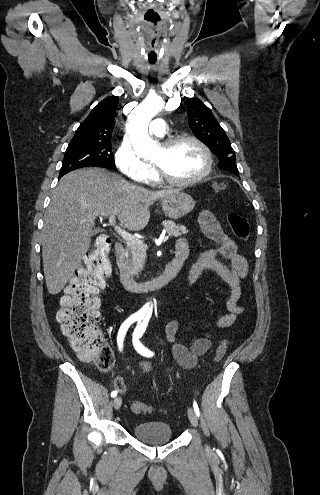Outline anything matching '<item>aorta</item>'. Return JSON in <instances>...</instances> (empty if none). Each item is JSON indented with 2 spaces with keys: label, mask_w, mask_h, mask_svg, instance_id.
<instances>
[{
  "label": "aorta",
  "mask_w": 320,
  "mask_h": 495,
  "mask_svg": "<svg viewBox=\"0 0 320 495\" xmlns=\"http://www.w3.org/2000/svg\"><path fill=\"white\" fill-rule=\"evenodd\" d=\"M164 108V101L159 97H147L128 116L127 132L134 147L135 152L142 158L155 156L159 151V145L151 139L148 133V126ZM145 309L152 312V306L147 304Z\"/></svg>",
  "instance_id": "aorta-1"
}]
</instances>
